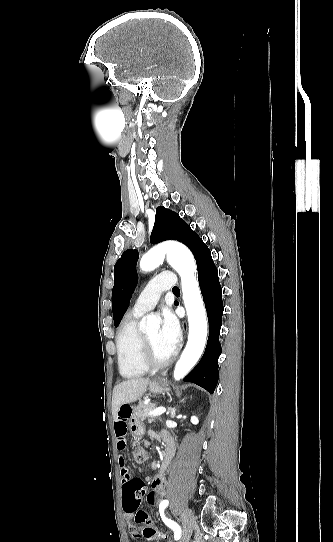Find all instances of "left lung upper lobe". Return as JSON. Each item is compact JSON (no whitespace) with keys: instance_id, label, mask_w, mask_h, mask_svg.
Wrapping results in <instances>:
<instances>
[{"instance_id":"5c2ea615","label":"left lung upper lobe","mask_w":333,"mask_h":542,"mask_svg":"<svg viewBox=\"0 0 333 542\" xmlns=\"http://www.w3.org/2000/svg\"><path fill=\"white\" fill-rule=\"evenodd\" d=\"M177 240L187 245L194 257L204 242L185 223L177 213L159 206L156 209L155 224L151 233V243L165 240ZM139 258L137 250H126L114 266L115 283L112 290L113 318L115 327L121 321L137 283L136 264Z\"/></svg>"}]
</instances>
